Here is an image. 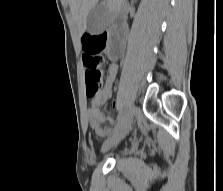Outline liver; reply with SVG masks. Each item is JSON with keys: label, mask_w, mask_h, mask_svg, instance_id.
I'll return each instance as SVG.
<instances>
[{"label": "liver", "mask_w": 223, "mask_h": 191, "mask_svg": "<svg viewBox=\"0 0 223 191\" xmlns=\"http://www.w3.org/2000/svg\"><path fill=\"white\" fill-rule=\"evenodd\" d=\"M124 0H107V8L112 13H118L122 9ZM99 0H69L70 11L76 22L80 34L86 30V19Z\"/></svg>", "instance_id": "liver-1"}]
</instances>
